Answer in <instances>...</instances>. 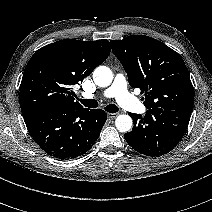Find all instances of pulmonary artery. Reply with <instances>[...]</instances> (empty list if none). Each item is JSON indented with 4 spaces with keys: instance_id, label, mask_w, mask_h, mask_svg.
<instances>
[{
    "instance_id": "obj_1",
    "label": "pulmonary artery",
    "mask_w": 212,
    "mask_h": 212,
    "mask_svg": "<svg viewBox=\"0 0 212 212\" xmlns=\"http://www.w3.org/2000/svg\"><path fill=\"white\" fill-rule=\"evenodd\" d=\"M102 95L106 98L114 97L123 108L131 112L143 113L146 110L145 106L128 92L126 79L122 74L115 76L112 85L105 89ZM83 97L91 99L95 94L83 93Z\"/></svg>"
}]
</instances>
